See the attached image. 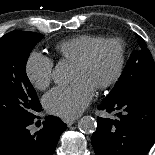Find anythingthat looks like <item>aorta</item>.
<instances>
[{"instance_id":"aorta-1","label":"aorta","mask_w":155,"mask_h":155,"mask_svg":"<svg viewBox=\"0 0 155 155\" xmlns=\"http://www.w3.org/2000/svg\"><path fill=\"white\" fill-rule=\"evenodd\" d=\"M53 80L56 84H66L70 81V70L67 64L58 63L53 70ZM97 127L96 120L91 116H83L78 121V129L82 133H92Z\"/></svg>"}]
</instances>
